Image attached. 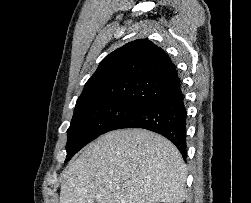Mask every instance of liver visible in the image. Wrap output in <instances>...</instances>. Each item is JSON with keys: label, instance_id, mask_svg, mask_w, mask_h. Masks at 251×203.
<instances>
[{"label": "liver", "instance_id": "6515ba94", "mask_svg": "<svg viewBox=\"0 0 251 203\" xmlns=\"http://www.w3.org/2000/svg\"><path fill=\"white\" fill-rule=\"evenodd\" d=\"M186 178L169 140L144 129L114 130L63 171L60 203H181Z\"/></svg>", "mask_w": 251, "mask_h": 203}]
</instances>
